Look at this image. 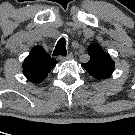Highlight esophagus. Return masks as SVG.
I'll list each match as a JSON object with an SVG mask.
<instances>
[{"mask_svg": "<svg viewBox=\"0 0 135 135\" xmlns=\"http://www.w3.org/2000/svg\"><path fill=\"white\" fill-rule=\"evenodd\" d=\"M73 58V54L72 53H68L66 56H60L59 60L60 61H64V60H70Z\"/></svg>", "mask_w": 135, "mask_h": 135, "instance_id": "1", "label": "esophagus"}]
</instances>
